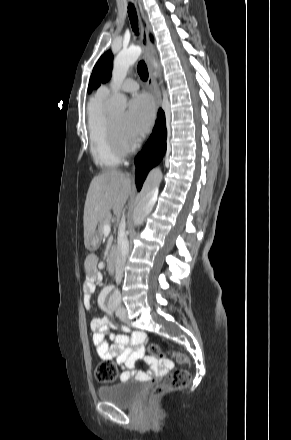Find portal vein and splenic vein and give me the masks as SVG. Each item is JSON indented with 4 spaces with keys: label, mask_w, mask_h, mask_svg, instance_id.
Wrapping results in <instances>:
<instances>
[{
    "label": "portal vein and splenic vein",
    "mask_w": 291,
    "mask_h": 440,
    "mask_svg": "<svg viewBox=\"0 0 291 440\" xmlns=\"http://www.w3.org/2000/svg\"><path fill=\"white\" fill-rule=\"evenodd\" d=\"M110 231H111V227H110V225H109V224L104 225L103 233H104L105 235H109V234H110Z\"/></svg>",
    "instance_id": "obj_1"
}]
</instances>
